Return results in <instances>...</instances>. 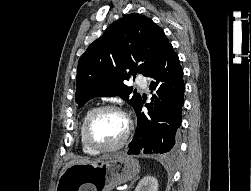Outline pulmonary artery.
Returning a JSON list of instances; mask_svg holds the SVG:
<instances>
[{
	"label": "pulmonary artery",
	"mask_w": 251,
	"mask_h": 191,
	"mask_svg": "<svg viewBox=\"0 0 251 191\" xmlns=\"http://www.w3.org/2000/svg\"><path fill=\"white\" fill-rule=\"evenodd\" d=\"M135 77L137 78L138 86H141L142 88H146V81H144V74L143 73H136Z\"/></svg>",
	"instance_id": "1"
}]
</instances>
